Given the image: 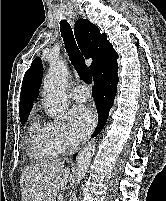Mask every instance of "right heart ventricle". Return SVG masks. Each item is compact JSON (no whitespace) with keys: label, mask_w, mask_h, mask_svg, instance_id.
I'll list each match as a JSON object with an SVG mask.
<instances>
[{"label":"right heart ventricle","mask_w":166,"mask_h":201,"mask_svg":"<svg viewBox=\"0 0 166 201\" xmlns=\"http://www.w3.org/2000/svg\"><path fill=\"white\" fill-rule=\"evenodd\" d=\"M31 154L38 160H51L59 152L54 147L50 134L49 124L35 120L30 126Z\"/></svg>","instance_id":"obj_1"}]
</instances>
